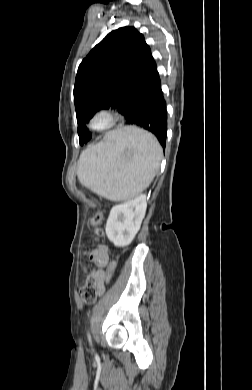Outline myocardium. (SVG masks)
<instances>
[{"label":"myocardium","mask_w":252,"mask_h":390,"mask_svg":"<svg viewBox=\"0 0 252 390\" xmlns=\"http://www.w3.org/2000/svg\"><path fill=\"white\" fill-rule=\"evenodd\" d=\"M103 119L104 123L100 126L96 124L97 120ZM118 120L116 111L110 108L98 109L90 118L89 125L93 130L104 132L115 126Z\"/></svg>","instance_id":"obj_1"}]
</instances>
